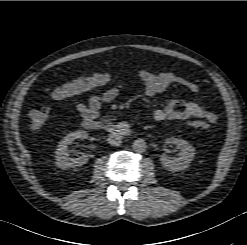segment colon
Returning <instances> with one entry per match:
<instances>
[{"label": "colon", "instance_id": "1", "mask_svg": "<svg viewBox=\"0 0 247 245\" xmlns=\"http://www.w3.org/2000/svg\"><path fill=\"white\" fill-rule=\"evenodd\" d=\"M116 77L108 71H97L56 87L51 96L54 100H64L108 86ZM30 128L33 131L41 129L48 120L46 109H33L29 112ZM189 124L198 129H209L211 124L204 120H192Z\"/></svg>", "mask_w": 247, "mask_h": 245}]
</instances>
